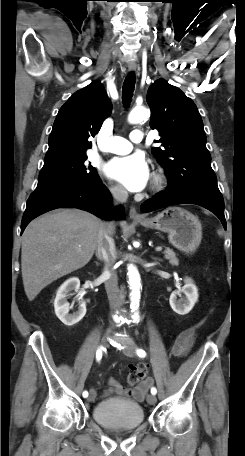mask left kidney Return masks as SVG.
<instances>
[{"label":"left kidney","instance_id":"1","mask_svg":"<svg viewBox=\"0 0 245 456\" xmlns=\"http://www.w3.org/2000/svg\"><path fill=\"white\" fill-rule=\"evenodd\" d=\"M184 282L185 285L181 289L173 291L169 298L171 308L179 315L188 314L198 300V289L192 280L186 278ZM178 296L181 299L178 300Z\"/></svg>","mask_w":245,"mask_h":456}]
</instances>
